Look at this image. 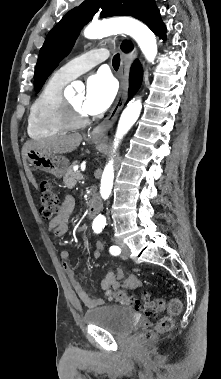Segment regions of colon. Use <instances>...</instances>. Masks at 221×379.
Masks as SVG:
<instances>
[{"label":"colon","mask_w":221,"mask_h":379,"mask_svg":"<svg viewBox=\"0 0 221 379\" xmlns=\"http://www.w3.org/2000/svg\"><path fill=\"white\" fill-rule=\"evenodd\" d=\"M60 210V204L57 194L54 192L50 182L41 183L40 198V215L44 220H52ZM107 296L110 299L117 300L125 305L134 306L144 311L149 316H157L165 309L163 299H151L145 295L142 299H133L127 296L123 291H108ZM182 303L179 299L173 298L167 304V315L159 318L153 329L145 330L141 333V339L149 342L158 335L169 332L173 328V317L181 313Z\"/></svg>","instance_id":"obj_1"}]
</instances>
